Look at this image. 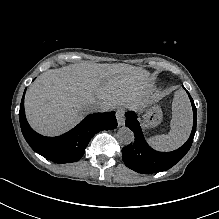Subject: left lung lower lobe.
<instances>
[{"label":"left lung lower lobe","mask_w":219,"mask_h":219,"mask_svg":"<svg viewBox=\"0 0 219 219\" xmlns=\"http://www.w3.org/2000/svg\"><path fill=\"white\" fill-rule=\"evenodd\" d=\"M188 95L194 114L192 132L182 147L171 152H159L152 149L144 139L137 115L132 111L125 113L126 126L135 134V141L122 149V158L128 168L142 174L157 173L168 170L185 156L192 145L197 123L196 107L189 93Z\"/></svg>","instance_id":"obj_1"}]
</instances>
